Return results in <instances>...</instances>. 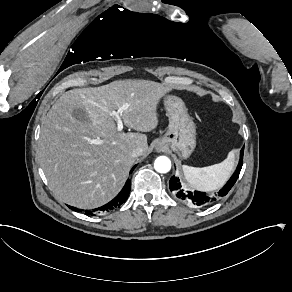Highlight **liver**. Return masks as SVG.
<instances>
[{
    "label": "liver",
    "instance_id": "1",
    "mask_svg": "<svg viewBox=\"0 0 292 292\" xmlns=\"http://www.w3.org/2000/svg\"><path fill=\"white\" fill-rule=\"evenodd\" d=\"M169 92L152 81L123 80L63 94L42 121L39 140L40 166L56 197L79 208L110 201L135 162L134 149L148 154L146 135L119 131L112 112L123 110L129 128L151 132L160 123L158 106ZM77 109L86 120L75 117Z\"/></svg>",
    "mask_w": 292,
    "mask_h": 292
}]
</instances>
